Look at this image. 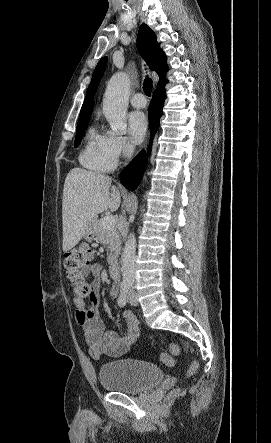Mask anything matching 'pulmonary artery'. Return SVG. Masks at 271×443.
I'll list each match as a JSON object with an SVG mask.
<instances>
[{
	"mask_svg": "<svg viewBox=\"0 0 271 443\" xmlns=\"http://www.w3.org/2000/svg\"><path fill=\"white\" fill-rule=\"evenodd\" d=\"M130 103L135 108H143L147 104V99L142 93H136L131 96Z\"/></svg>",
	"mask_w": 271,
	"mask_h": 443,
	"instance_id": "e3ab8cb5",
	"label": "pulmonary artery"
}]
</instances>
